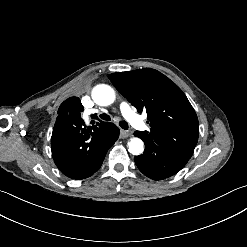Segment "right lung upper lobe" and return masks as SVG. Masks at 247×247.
I'll list each match as a JSON object with an SVG mask.
<instances>
[{
    "label": "right lung upper lobe",
    "mask_w": 247,
    "mask_h": 247,
    "mask_svg": "<svg viewBox=\"0 0 247 247\" xmlns=\"http://www.w3.org/2000/svg\"><path fill=\"white\" fill-rule=\"evenodd\" d=\"M84 108L78 97H71L65 100L58 109V117L56 119L53 134H57L62 130L79 128L86 131L89 139L93 136L99 138L103 134L108 133L106 130L111 123L101 122L96 123L90 127H86L83 119L81 118V112Z\"/></svg>",
    "instance_id": "right-lung-upper-lobe-1"
}]
</instances>
